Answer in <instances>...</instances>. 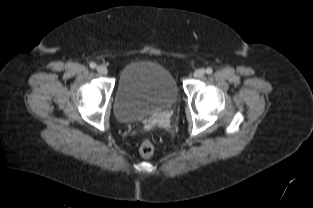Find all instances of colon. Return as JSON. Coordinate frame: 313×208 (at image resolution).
<instances>
[{"label":"colon","instance_id":"colon-1","mask_svg":"<svg viewBox=\"0 0 313 208\" xmlns=\"http://www.w3.org/2000/svg\"><path fill=\"white\" fill-rule=\"evenodd\" d=\"M140 155L144 158H150L154 153V145L150 140H144L139 147Z\"/></svg>","mask_w":313,"mask_h":208}]
</instances>
